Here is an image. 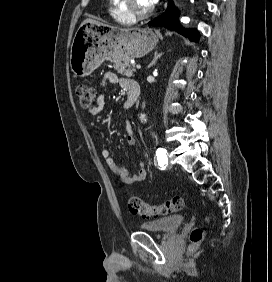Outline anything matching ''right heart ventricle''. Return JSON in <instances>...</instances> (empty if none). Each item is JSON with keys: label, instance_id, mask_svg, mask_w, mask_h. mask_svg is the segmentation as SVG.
<instances>
[{"label": "right heart ventricle", "instance_id": "obj_1", "mask_svg": "<svg viewBox=\"0 0 272 282\" xmlns=\"http://www.w3.org/2000/svg\"><path fill=\"white\" fill-rule=\"evenodd\" d=\"M122 0H110V12L112 17L119 23L129 25L134 22V18L131 17L122 7Z\"/></svg>", "mask_w": 272, "mask_h": 282}]
</instances>
